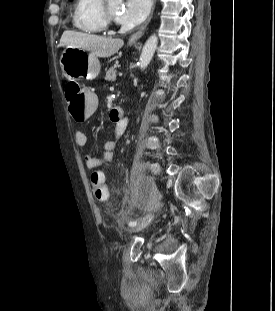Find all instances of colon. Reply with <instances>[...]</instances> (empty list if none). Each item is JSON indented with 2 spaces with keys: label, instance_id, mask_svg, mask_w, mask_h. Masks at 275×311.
<instances>
[{
  "label": "colon",
  "instance_id": "obj_1",
  "mask_svg": "<svg viewBox=\"0 0 275 311\" xmlns=\"http://www.w3.org/2000/svg\"><path fill=\"white\" fill-rule=\"evenodd\" d=\"M66 98L73 121H90V117H94L98 102L96 92H86L77 84L69 83L66 87ZM90 180L96 199L107 201L109 190L104 183L103 174L95 171L91 174Z\"/></svg>",
  "mask_w": 275,
  "mask_h": 311
}]
</instances>
